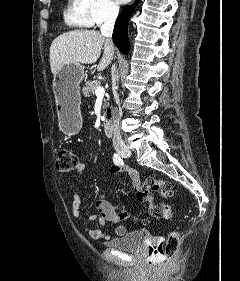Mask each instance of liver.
<instances>
[{"label": "liver", "instance_id": "1", "mask_svg": "<svg viewBox=\"0 0 240 281\" xmlns=\"http://www.w3.org/2000/svg\"><path fill=\"white\" fill-rule=\"evenodd\" d=\"M104 50L97 70H104L114 56L113 43L95 30H73L56 37L50 46V67L54 75L68 64L95 63Z\"/></svg>", "mask_w": 240, "mask_h": 281}]
</instances>
